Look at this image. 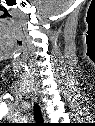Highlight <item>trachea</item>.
<instances>
[{"label":"trachea","mask_w":95,"mask_h":126,"mask_svg":"<svg viewBox=\"0 0 95 126\" xmlns=\"http://www.w3.org/2000/svg\"><path fill=\"white\" fill-rule=\"evenodd\" d=\"M34 119L36 121V124L41 125L43 124V117L40 110V106L36 103L34 104Z\"/></svg>","instance_id":"obj_1"}]
</instances>
